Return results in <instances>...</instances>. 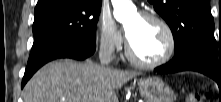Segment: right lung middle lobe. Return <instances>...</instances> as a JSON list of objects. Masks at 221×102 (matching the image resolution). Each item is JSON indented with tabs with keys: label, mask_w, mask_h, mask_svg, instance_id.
Here are the masks:
<instances>
[{
	"label": "right lung middle lobe",
	"mask_w": 221,
	"mask_h": 102,
	"mask_svg": "<svg viewBox=\"0 0 221 102\" xmlns=\"http://www.w3.org/2000/svg\"><path fill=\"white\" fill-rule=\"evenodd\" d=\"M102 2L48 0L34 11L33 58L49 46L67 40L96 43V26Z\"/></svg>",
	"instance_id": "dd1d6c3e"
}]
</instances>
